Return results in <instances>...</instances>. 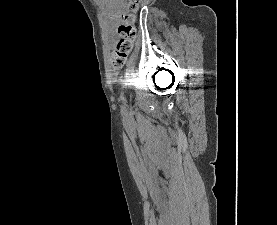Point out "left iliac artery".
Segmentation results:
<instances>
[{"label":"left iliac artery","instance_id":"1","mask_svg":"<svg viewBox=\"0 0 277 225\" xmlns=\"http://www.w3.org/2000/svg\"><path fill=\"white\" fill-rule=\"evenodd\" d=\"M120 100H121V103H122V105H121V110H122L123 112H125V111H126V99H125V96H124V92H122V93L120 94Z\"/></svg>","mask_w":277,"mask_h":225}]
</instances>
